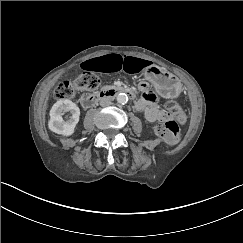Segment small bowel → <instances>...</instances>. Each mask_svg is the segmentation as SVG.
<instances>
[{"mask_svg": "<svg viewBox=\"0 0 243 243\" xmlns=\"http://www.w3.org/2000/svg\"><path fill=\"white\" fill-rule=\"evenodd\" d=\"M149 66L147 61L133 56H122L119 54H107L81 64L82 69L94 72H117L139 73ZM139 90L142 98L137 102V110L144 113L149 122L164 121L168 119V114L157 102V96L149 88L148 84L140 83Z\"/></svg>", "mask_w": 243, "mask_h": 243, "instance_id": "small-bowel-1", "label": "small bowel"}]
</instances>
